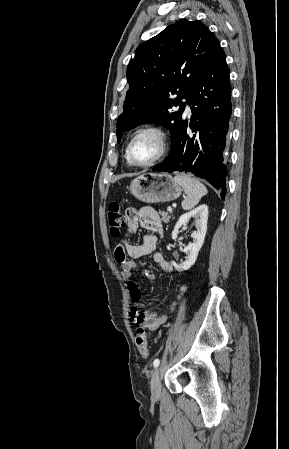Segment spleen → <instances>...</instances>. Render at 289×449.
<instances>
[{
	"mask_svg": "<svg viewBox=\"0 0 289 449\" xmlns=\"http://www.w3.org/2000/svg\"><path fill=\"white\" fill-rule=\"evenodd\" d=\"M174 180L182 186L187 195L181 203L184 210L194 208L201 198L208 193L207 188L200 181L187 175L178 174L174 177Z\"/></svg>",
	"mask_w": 289,
	"mask_h": 449,
	"instance_id": "obj_1",
	"label": "spleen"
}]
</instances>
